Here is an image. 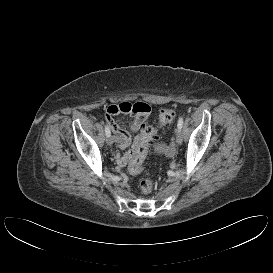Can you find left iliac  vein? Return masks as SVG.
I'll return each instance as SVG.
<instances>
[{"instance_id":"left-iliac-vein-1","label":"left iliac vein","mask_w":273,"mask_h":273,"mask_svg":"<svg viewBox=\"0 0 273 273\" xmlns=\"http://www.w3.org/2000/svg\"><path fill=\"white\" fill-rule=\"evenodd\" d=\"M182 141H183V136H182L181 130L178 129L176 131V143L180 145Z\"/></svg>"}]
</instances>
